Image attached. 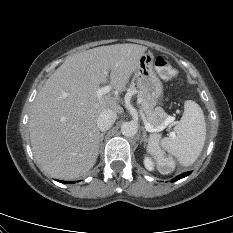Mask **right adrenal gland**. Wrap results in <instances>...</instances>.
I'll list each match as a JSON object with an SVG mask.
<instances>
[{"label": "right adrenal gland", "instance_id": "2a0ac1e0", "mask_svg": "<svg viewBox=\"0 0 233 233\" xmlns=\"http://www.w3.org/2000/svg\"><path fill=\"white\" fill-rule=\"evenodd\" d=\"M105 133H106V132L101 133V139H100L101 144H102V141H103V139H104Z\"/></svg>", "mask_w": 233, "mask_h": 233}]
</instances>
